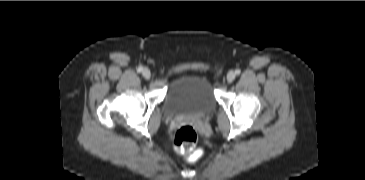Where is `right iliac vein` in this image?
I'll use <instances>...</instances> for the list:
<instances>
[{
    "mask_svg": "<svg viewBox=\"0 0 365 180\" xmlns=\"http://www.w3.org/2000/svg\"><path fill=\"white\" fill-rule=\"evenodd\" d=\"M142 75H143V77H144V78H146V79H150V77H151V72H150V70H149L148 68H144V69L142 70Z\"/></svg>",
    "mask_w": 365,
    "mask_h": 180,
    "instance_id": "right-iliac-vein-1",
    "label": "right iliac vein"
}]
</instances>
